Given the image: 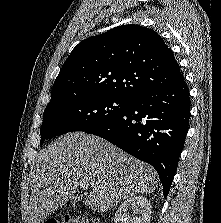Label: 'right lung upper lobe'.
Returning a JSON list of instances; mask_svg holds the SVG:
<instances>
[{
  "instance_id": "obj_1",
  "label": "right lung upper lobe",
  "mask_w": 221,
  "mask_h": 223,
  "mask_svg": "<svg viewBox=\"0 0 221 223\" xmlns=\"http://www.w3.org/2000/svg\"><path fill=\"white\" fill-rule=\"evenodd\" d=\"M182 79L160 35L143 26L123 25L87 38L73 49L55 80L50 103L79 95L132 100Z\"/></svg>"
}]
</instances>
